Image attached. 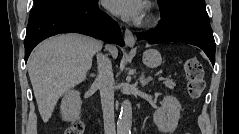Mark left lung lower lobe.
I'll list each match as a JSON object with an SVG mask.
<instances>
[{"label": "left lung lower lobe", "mask_w": 239, "mask_h": 134, "mask_svg": "<svg viewBox=\"0 0 239 134\" xmlns=\"http://www.w3.org/2000/svg\"><path fill=\"white\" fill-rule=\"evenodd\" d=\"M160 24L150 31L139 32L138 40L158 44L183 42L200 47L215 64L216 45L205 2L189 0L181 3L171 14L162 17Z\"/></svg>", "instance_id": "left-lung-lower-lobe-1"}]
</instances>
